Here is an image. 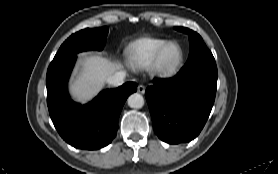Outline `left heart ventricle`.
<instances>
[{"label":"left heart ventricle","mask_w":278,"mask_h":174,"mask_svg":"<svg viewBox=\"0 0 278 174\" xmlns=\"http://www.w3.org/2000/svg\"><path fill=\"white\" fill-rule=\"evenodd\" d=\"M179 57V50L176 46L168 47L163 56H162V64L166 67L172 66Z\"/></svg>","instance_id":"b2bd125f"}]
</instances>
